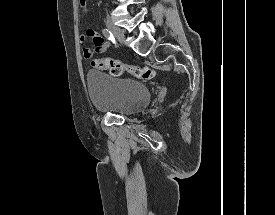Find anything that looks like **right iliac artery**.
Wrapping results in <instances>:
<instances>
[{
	"label": "right iliac artery",
	"instance_id": "82829eb1",
	"mask_svg": "<svg viewBox=\"0 0 275 215\" xmlns=\"http://www.w3.org/2000/svg\"><path fill=\"white\" fill-rule=\"evenodd\" d=\"M102 33L108 40L112 41L113 43L115 42L114 36L111 31H109L108 29H103Z\"/></svg>",
	"mask_w": 275,
	"mask_h": 215
}]
</instances>
